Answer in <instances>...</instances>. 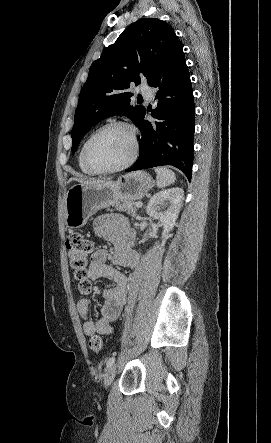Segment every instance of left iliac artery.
<instances>
[{
	"instance_id": "1",
	"label": "left iliac artery",
	"mask_w": 271,
	"mask_h": 443,
	"mask_svg": "<svg viewBox=\"0 0 271 443\" xmlns=\"http://www.w3.org/2000/svg\"><path fill=\"white\" fill-rule=\"evenodd\" d=\"M115 362V357H111L106 362V369L110 368Z\"/></svg>"
}]
</instances>
